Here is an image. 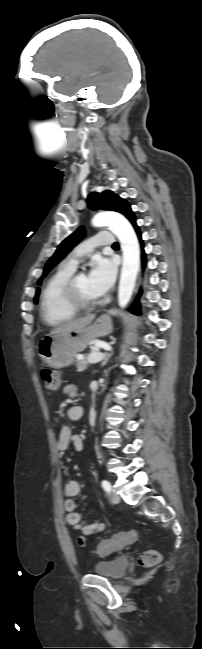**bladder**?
Returning a JSON list of instances; mask_svg holds the SVG:
<instances>
[{
  "mask_svg": "<svg viewBox=\"0 0 202 649\" xmlns=\"http://www.w3.org/2000/svg\"><path fill=\"white\" fill-rule=\"evenodd\" d=\"M129 562L124 557H117L107 561L98 562L93 569L94 574L106 577L109 579H119L121 578L127 568Z\"/></svg>",
  "mask_w": 202,
  "mask_h": 649,
  "instance_id": "31cf9c89",
  "label": "bladder"
}]
</instances>
